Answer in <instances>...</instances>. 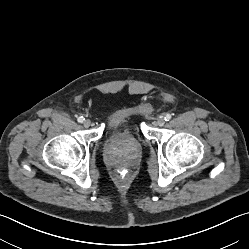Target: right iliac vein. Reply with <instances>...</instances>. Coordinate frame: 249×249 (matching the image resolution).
Returning <instances> with one entry per match:
<instances>
[{"instance_id":"63e3f726","label":"right iliac vein","mask_w":249,"mask_h":249,"mask_svg":"<svg viewBox=\"0 0 249 249\" xmlns=\"http://www.w3.org/2000/svg\"><path fill=\"white\" fill-rule=\"evenodd\" d=\"M91 125V121L89 119H86L84 122H83V126L85 128H88L89 126Z\"/></svg>"}]
</instances>
